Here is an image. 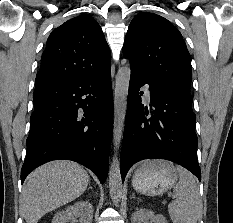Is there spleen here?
Listing matches in <instances>:
<instances>
[{"label": "spleen", "instance_id": "3e777b00", "mask_svg": "<svg viewBox=\"0 0 233 223\" xmlns=\"http://www.w3.org/2000/svg\"><path fill=\"white\" fill-rule=\"evenodd\" d=\"M177 169L180 179L174 187L176 199L168 205L170 217L173 223H197L201 201L196 181L187 169L183 167Z\"/></svg>", "mask_w": 233, "mask_h": 223}]
</instances>
